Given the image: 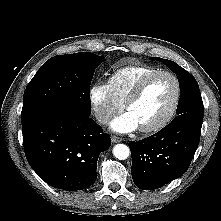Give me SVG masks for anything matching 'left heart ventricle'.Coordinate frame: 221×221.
I'll return each mask as SVG.
<instances>
[{
	"instance_id": "obj_1",
	"label": "left heart ventricle",
	"mask_w": 221,
	"mask_h": 221,
	"mask_svg": "<svg viewBox=\"0 0 221 221\" xmlns=\"http://www.w3.org/2000/svg\"><path fill=\"white\" fill-rule=\"evenodd\" d=\"M175 94L173 80L160 75L153 78L145 87L141 96L127 109L139 127L150 126L159 121L169 110Z\"/></svg>"
}]
</instances>
